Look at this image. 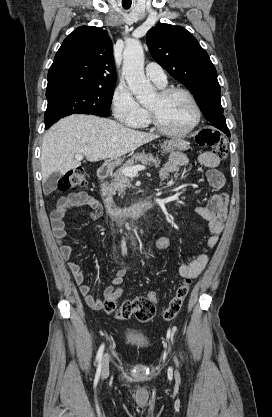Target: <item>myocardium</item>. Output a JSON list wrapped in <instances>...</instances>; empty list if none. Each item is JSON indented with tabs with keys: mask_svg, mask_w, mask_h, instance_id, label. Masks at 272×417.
<instances>
[{
	"mask_svg": "<svg viewBox=\"0 0 272 417\" xmlns=\"http://www.w3.org/2000/svg\"><path fill=\"white\" fill-rule=\"evenodd\" d=\"M175 94H182L185 95L191 102V104L193 105L194 111H195V118L194 121L192 122V124L181 131H174L171 130L167 127H165L159 120L157 114L152 111L151 109H148V119H149V123L159 132L165 134V135H169V136H175V137H182V136H186L188 134H190L192 131H194L197 126L199 125L200 121H201V117H202V111H201V107L197 101V99L195 98V96L187 89L181 88V87H170V88H165L163 90L160 91L159 96L162 99H167Z\"/></svg>",
	"mask_w": 272,
	"mask_h": 417,
	"instance_id": "f54148a6",
	"label": "myocardium"
}]
</instances>
